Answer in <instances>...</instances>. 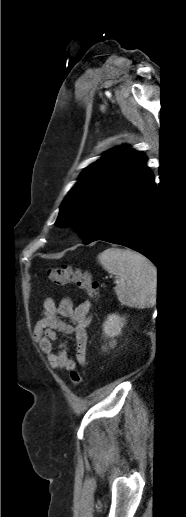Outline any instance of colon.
<instances>
[{
  "instance_id": "obj_1",
  "label": "colon",
  "mask_w": 186,
  "mask_h": 517,
  "mask_svg": "<svg viewBox=\"0 0 186 517\" xmlns=\"http://www.w3.org/2000/svg\"><path fill=\"white\" fill-rule=\"evenodd\" d=\"M49 280L58 286L68 284H76L79 288L85 290L92 298L99 296V282L90 279L89 276L83 274L79 269L69 265L53 267L48 270ZM71 382L75 386H79L83 381L82 374L75 368L70 372Z\"/></svg>"
}]
</instances>
